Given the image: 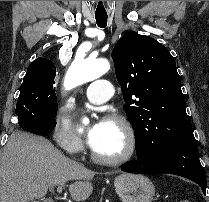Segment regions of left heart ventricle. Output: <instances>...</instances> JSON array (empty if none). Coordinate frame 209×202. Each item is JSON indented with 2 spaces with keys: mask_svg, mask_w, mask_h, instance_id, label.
Segmentation results:
<instances>
[{
  "mask_svg": "<svg viewBox=\"0 0 209 202\" xmlns=\"http://www.w3.org/2000/svg\"><path fill=\"white\" fill-rule=\"evenodd\" d=\"M126 136L122 128L113 122H104L99 141L93 148L103 156H118L126 147Z\"/></svg>",
  "mask_w": 209,
  "mask_h": 202,
  "instance_id": "1",
  "label": "left heart ventricle"
}]
</instances>
